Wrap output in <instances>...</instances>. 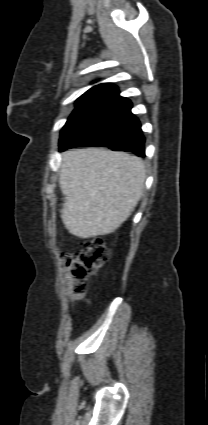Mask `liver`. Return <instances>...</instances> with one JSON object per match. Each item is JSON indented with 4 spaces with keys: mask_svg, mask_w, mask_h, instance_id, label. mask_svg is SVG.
Segmentation results:
<instances>
[{
    "mask_svg": "<svg viewBox=\"0 0 208 425\" xmlns=\"http://www.w3.org/2000/svg\"><path fill=\"white\" fill-rule=\"evenodd\" d=\"M141 158L101 148L62 155L59 184L65 196L61 218L78 238L114 232L134 211L144 190Z\"/></svg>",
    "mask_w": 208,
    "mask_h": 425,
    "instance_id": "liver-1",
    "label": "liver"
}]
</instances>
